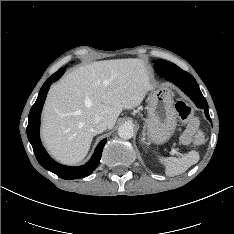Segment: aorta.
<instances>
[{"label":"aorta","instance_id":"obj_1","mask_svg":"<svg viewBox=\"0 0 234 234\" xmlns=\"http://www.w3.org/2000/svg\"><path fill=\"white\" fill-rule=\"evenodd\" d=\"M118 135L122 139H131L134 135V129L131 124L125 123L119 126Z\"/></svg>","mask_w":234,"mask_h":234}]
</instances>
